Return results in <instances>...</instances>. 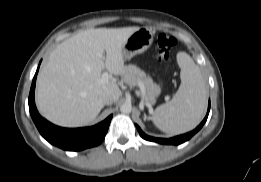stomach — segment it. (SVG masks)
Returning <instances> with one entry per match:
<instances>
[{
  "label": "stomach",
  "instance_id": "1",
  "mask_svg": "<svg viewBox=\"0 0 261 182\" xmlns=\"http://www.w3.org/2000/svg\"><path fill=\"white\" fill-rule=\"evenodd\" d=\"M153 36V31L147 27L135 31L122 47L123 58L129 60L133 56L146 51L152 45Z\"/></svg>",
  "mask_w": 261,
  "mask_h": 182
}]
</instances>
